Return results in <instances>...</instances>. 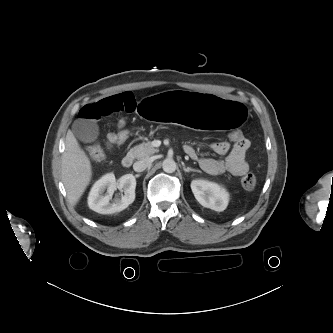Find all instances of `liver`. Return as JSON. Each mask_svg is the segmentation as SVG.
<instances>
[{
    "instance_id": "obj_1",
    "label": "liver",
    "mask_w": 333,
    "mask_h": 333,
    "mask_svg": "<svg viewBox=\"0 0 333 333\" xmlns=\"http://www.w3.org/2000/svg\"><path fill=\"white\" fill-rule=\"evenodd\" d=\"M61 167L68 198L71 203L76 204L91 181L92 169L89 158L70 130L65 139Z\"/></svg>"
}]
</instances>
